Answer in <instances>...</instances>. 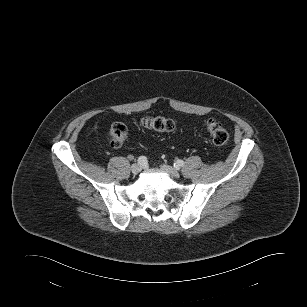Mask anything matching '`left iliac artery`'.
<instances>
[{
	"label": "left iliac artery",
	"instance_id": "obj_1",
	"mask_svg": "<svg viewBox=\"0 0 307 307\" xmlns=\"http://www.w3.org/2000/svg\"><path fill=\"white\" fill-rule=\"evenodd\" d=\"M184 165V161L183 160H177L175 163H174V167L175 168H180Z\"/></svg>",
	"mask_w": 307,
	"mask_h": 307
}]
</instances>
